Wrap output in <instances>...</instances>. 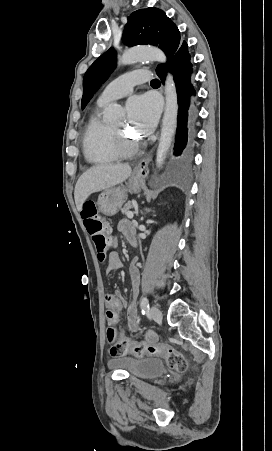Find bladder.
Listing matches in <instances>:
<instances>
[{
  "label": "bladder",
  "instance_id": "obj_1",
  "mask_svg": "<svg viewBox=\"0 0 272 451\" xmlns=\"http://www.w3.org/2000/svg\"><path fill=\"white\" fill-rule=\"evenodd\" d=\"M108 366L111 368H124L131 378L144 379L161 376L165 370V361L160 358L121 355L111 358Z\"/></svg>",
  "mask_w": 272,
  "mask_h": 451
}]
</instances>
